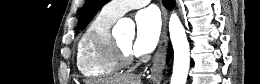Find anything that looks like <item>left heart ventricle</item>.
<instances>
[{
    "label": "left heart ventricle",
    "instance_id": "b2bd125f",
    "mask_svg": "<svg viewBox=\"0 0 260 84\" xmlns=\"http://www.w3.org/2000/svg\"><path fill=\"white\" fill-rule=\"evenodd\" d=\"M116 40L122 47H124L126 49L132 48L133 38H131V37H120V38H117Z\"/></svg>",
    "mask_w": 260,
    "mask_h": 84
}]
</instances>
